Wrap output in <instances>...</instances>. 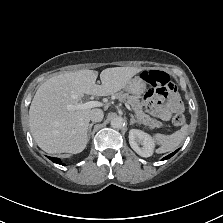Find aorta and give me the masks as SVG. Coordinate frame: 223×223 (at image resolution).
Segmentation results:
<instances>
[{
  "label": "aorta",
  "instance_id": "obj_1",
  "mask_svg": "<svg viewBox=\"0 0 223 223\" xmlns=\"http://www.w3.org/2000/svg\"><path fill=\"white\" fill-rule=\"evenodd\" d=\"M124 126V119L120 116L115 117L111 120V127L121 129Z\"/></svg>",
  "mask_w": 223,
  "mask_h": 223
}]
</instances>
